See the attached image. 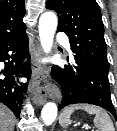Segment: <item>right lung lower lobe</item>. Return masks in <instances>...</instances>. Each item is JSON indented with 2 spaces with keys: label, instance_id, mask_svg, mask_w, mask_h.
<instances>
[{
  "label": "right lung lower lobe",
  "instance_id": "right-lung-lower-lobe-1",
  "mask_svg": "<svg viewBox=\"0 0 117 131\" xmlns=\"http://www.w3.org/2000/svg\"><path fill=\"white\" fill-rule=\"evenodd\" d=\"M24 58L28 62L23 63ZM29 46L26 33L0 43V102L8 106L16 117L20 116L23 101L22 92L27 84L19 81L20 76H31Z\"/></svg>",
  "mask_w": 117,
  "mask_h": 131
}]
</instances>
